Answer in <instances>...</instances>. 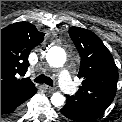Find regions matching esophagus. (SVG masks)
Here are the masks:
<instances>
[{
    "label": "esophagus",
    "instance_id": "esophagus-1",
    "mask_svg": "<svg viewBox=\"0 0 122 122\" xmlns=\"http://www.w3.org/2000/svg\"><path fill=\"white\" fill-rule=\"evenodd\" d=\"M44 89L48 92H53L55 91V88L54 87H51V86H48V85H44Z\"/></svg>",
    "mask_w": 122,
    "mask_h": 122
}]
</instances>
